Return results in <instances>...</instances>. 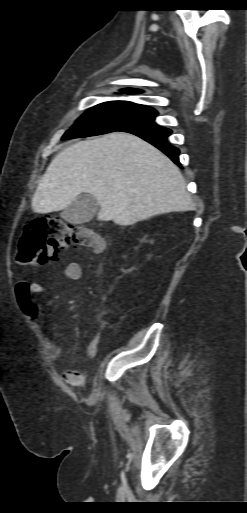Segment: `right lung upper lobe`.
<instances>
[{"mask_svg": "<svg viewBox=\"0 0 247 513\" xmlns=\"http://www.w3.org/2000/svg\"><path fill=\"white\" fill-rule=\"evenodd\" d=\"M121 91L122 92H127V93H141L142 92V91L136 90V89H123Z\"/></svg>", "mask_w": 247, "mask_h": 513, "instance_id": "1", "label": "right lung upper lobe"}]
</instances>
